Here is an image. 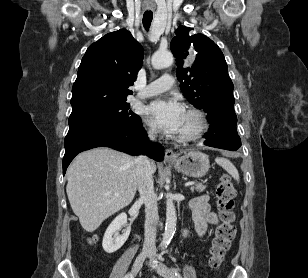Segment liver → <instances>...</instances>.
<instances>
[{"label": "liver", "mask_w": 308, "mask_h": 278, "mask_svg": "<svg viewBox=\"0 0 308 278\" xmlns=\"http://www.w3.org/2000/svg\"><path fill=\"white\" fill-rule=\"evenodd\" d=\"M136 158L111 148L78 154L67 169L66 192L75 215L87 232L128 206L137 189ZM152 174L156 165L151 163Z\"/></svg>", "instance_id": "1"}]
</instances>
